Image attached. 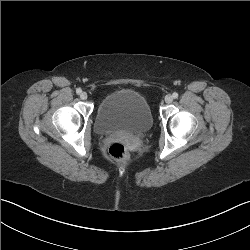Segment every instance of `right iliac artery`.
<instances>
[{
    "label": "right iliac artery",
    "mask_w": 250,
    "mask_h": 250,
    "mask_svg": "<svg viewBox=\"0 0 250 250\" xmlns=\"http://www.w3.org/2000/svg\"><path fill=\"white\" fill-rule=\"evenodd\" d=\"M82 90L80 88L76 89L77 94H81Z\"/></svg>",
    "instance_id": "obj_1"
}]
</instances>
